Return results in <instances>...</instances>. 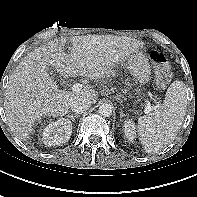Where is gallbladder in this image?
Returning a JSON list of instances; mask_svg holds the SVG:
<instances>
[{
	"mask_svg": "<svg viewBox=\"0 0 197 197\" xmlns=\"http://www.w3.org/2000/svg\"><path fill=\"white\" fill-rule=\"evenodd\" d=\"M46 70L50 74H53L54 73V68L52 66L47 67Z\"/></svg>",
	"mask_w": 197,
	"mask_h": 197,
	"instance_id": "obj_1",
	"label": "gallbladder"
}]
</instances>
